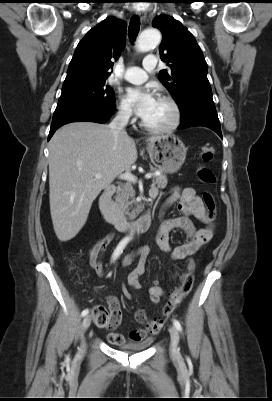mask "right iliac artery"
I'll return each instance as SVG.
<instances>
[{"instance_id":"obj_1","label":"right iliac artery","mask_w":272,"mask_h":401,"mask_svg":"<svg viewBox=\"0 0 272 401\" xmlns=\"http://www.w3.org/2000/svg\"><path fill=\"white\" fill-rule=\"evenodd\" d=\"M128 243V239H123L118 246L116 247L113 255H112V260H116L118 258V256L122 253L124 247L126 246V244ZM89 313L88 309H85L82 311L81 315L82 316H86Z\"/></svg>"}]
</instances>
